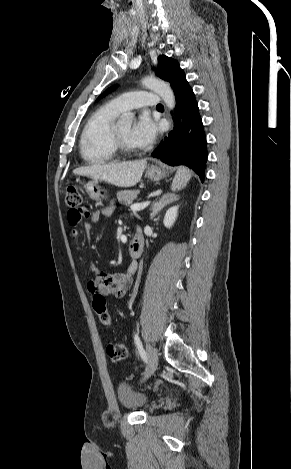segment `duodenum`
Wrapping results in <instances>:
<instances>
[{"label": "duodenum", "instance_id": "410a0bca", "mask_svg": "<svg viewBox=\"0 0 291 469\" xmlns=\"http://www.w3.org/2000/svg\"><path fill=\"white\" fill-rule=\"evenodd\" d=\"M144 249V238L142 232L140 230L136 231L134 238L131 240L129 244V253L130 256L134 259L139 258Z\"/></svg>", "mask_w": 291, "mask_h": 469}]
</instances>
